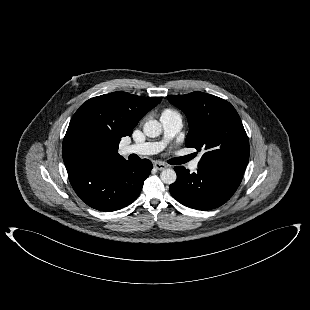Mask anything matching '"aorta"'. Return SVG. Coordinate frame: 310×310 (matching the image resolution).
Here are the masks:
<instances>
[{"label": "aorta", "mask_w": 310, "mask_h": 310, "mask_svg": "<svg viewBox=\"0 0 310 310\" xmlns=\"http://www.w3.org/2000/svg\"><path fill=\"white\" fill-rule=\"evenodd\" d=\"M162 126L157 120H149L143 126V132L150 138L158 137L161 134ZM161 180L165 184H173L177 175L173 169H164L160 174Z\"/></svg>", "instance_id": "762f6f07"}]
</instances>
